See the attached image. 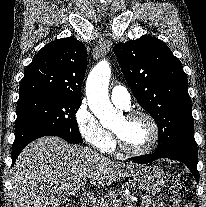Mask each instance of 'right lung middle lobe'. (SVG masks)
I'll return each mask as SVG.
<instances>
[{
  "instance_id": "obj_1",
  "label": "right lung middle lobe",
  "mask_w": 206,
  "mask_h": 207,
  "mask_svg": "<svg viewBox=\"0 0 206 207\" xmlns=\"http://www.w3.org/2000/svg\"><path fill=\"white\" fill-rule=\"evenodd\" d=\"M81 99L40 95L18 100L12 150L44 135L82 143L75 114Z\"/></svg>"
}]
</instances>
